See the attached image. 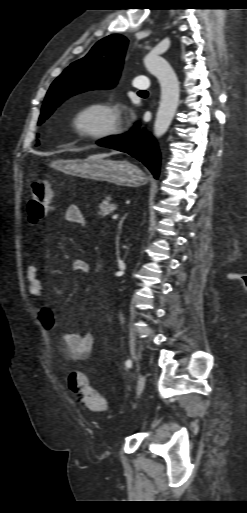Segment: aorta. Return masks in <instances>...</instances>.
<instances>
[{
	"mask_svg": "<svg viewBox=\"0 0 247 513\" xmlns=\"http://www.w3.org/2000/svg\"><path fill=\"white\" fill-rule=\"evenodd\" d=\"M144 65L158 79L161 88L160 102L153 128L154 136L160 138L169 129L176 113L179 103V82L170 64L152 52L145 56Z\"/></svg>",
	"mask_w": 247,
	"mask_h": 513,
	"instance_id": "762f6f07",
	"label": "aorta"
}]
</instances>
